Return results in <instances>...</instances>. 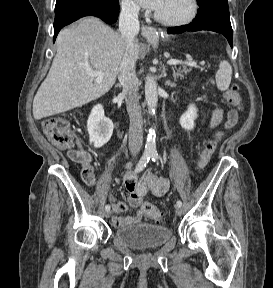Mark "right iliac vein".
I'll list each match as a JSON object with an SVG mask.
<instances>
[{
    "mask_svg": "<svg viewBox=\"0 0 273 288\" xmlns=\"http://www.w3.org/2000/svg\"><path fill=\"white\" fill-rule=\"evenodd\" d=\"M111 211L110 210H107L106 212H105V217L106 218H109L110 216H111Z\"/></svg>",
    "mask_w": 273,
    "mask_h": 288,
    "instance_id": "right-iliac-vein-1",
    "label": "right iliac vein"
}]
</instances>
